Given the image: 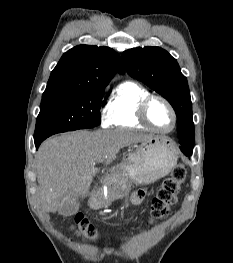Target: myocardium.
I'll use <instances>...</instances> for the list:
<instances>
[{
    "label": "myocardium",
    "instance_id": "obj_1",
    "mask_svg": "<svg viewBox=\"0 0 233 263\" xmlns=\"http://www.w3.org/2000/svg\"><path fill=\"white\" fill-rule=\"evenodd\" d=\"M154 100H160L162 101L167 108L169 109L171 115H172V126L168 129V130H161L156 128L151 121L149 120L148 117V108L150 106V104L154 101ZM137 116L139 121L146 126L147 128H149L150 130L160 133V134H168L171 133L176 125H177V114L176 111L173 107V105L170 103V101L168 99H166L165 97L161 96V95H156V94H150L147 97H145L138 106V110H137Z\"/></svg>",
    "mask_w": 233,
    "mask_h": 263
}]
</instances>
